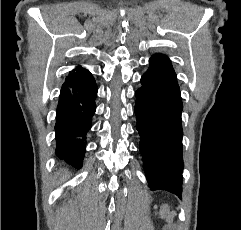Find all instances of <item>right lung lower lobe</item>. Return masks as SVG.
<instances>
[{"label":"right lung lower lobe","instance_id":"98d812e1","mask_svg":"<svg viewBox=\"0 0 241 230\" xmlns=\"http://www.w3.org/2000/svg\"><path fill=\"white\" fill-rule=\"evenodd\" d=\"M97 90L92 74L81 67L69 72L61 88L55 125L56 155L76 169L82 166Z\"/></svg>","mask_w":241,"mask_h":230}]
</instances>
